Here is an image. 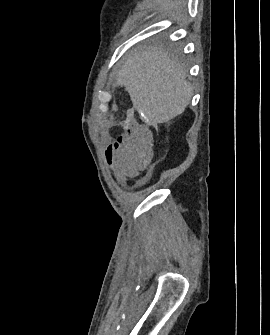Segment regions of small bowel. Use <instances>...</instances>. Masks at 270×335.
<instances>
[{"label": "small bowel", "instance_id": "small-bowel-1", "mask_svg": "<svg viewBox=\"0 0 270 335\" xmlns=\"http://www.w3.org/2000/svg\"><path fill=\"white\" fill-rule=\"evenodd\" d=\"M142 128L143 121H128L125 133L139 135L132 138L120 135V144H97V151H105L100 154V161H105L106 165H119L115 167L116 178H136L137 169L150 165V158L143 156H158V149H151L152 138Z\"/></svg>", "mask_w": 270, "mask_h": 335}]
</instances>
